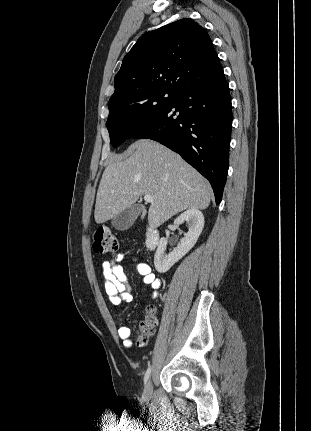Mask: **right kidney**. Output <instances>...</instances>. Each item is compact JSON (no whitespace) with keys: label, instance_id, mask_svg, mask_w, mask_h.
Returning a JSON list of instances; mask_svg holds the SVG:
<instances>
[{"label":"right kidney","instance_id":"right-kidney-1","mask_svg":"<svg viewBox=\"0 0 311 431\" xmlns=\"http://www.w3.org/2000/svg\"><path fill=\"white\" fill-rule=\"evenodd\" d=\"M183 221H188L187 233H184L185 237L180 239L177 247H174L170 253H165L167 245V237H161L156 253L154 255V265L157 271L165 273L168 271L176 261H179L187 251H190L191 247L195 245L204 225V216L200 210H186L181 216L176 217L174 225H180Z\"/></svg>","mask_w":311,"mask_h":431}]
</instances>
